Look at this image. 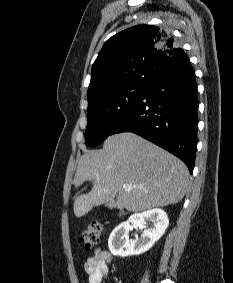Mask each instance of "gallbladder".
<instances>
[{
  "label": "gallbladder",
  "instance_id": "bac80fb5",
  "mask_svg": "<svg viewBox=\"0 0 233 283\" xmlns=\"http://www.w3.org/2000/svg\"><path fill=\"white\" fill-rule=\"evenodd\" d=\"M115 201L116 198H114L109 204H107V206L112 209L113 207H115Z\"/></svg>",
  "mask_w": 233,
  "mask_h": 283
}]
</instances>
